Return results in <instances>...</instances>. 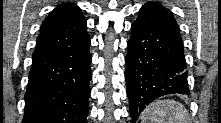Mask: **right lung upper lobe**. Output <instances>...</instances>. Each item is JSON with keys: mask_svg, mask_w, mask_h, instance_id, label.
Instances as JSON below:
<instances>
[{"mask_svg": "<svg viewBox=\"0 0 221 123\" xmlns=\"http://www.w3.org/2000/svg\"><path fill=\"white\" fill-rule=\"evenodd\" d=\"M86 31V20L80 8L73 3H65L55 8L43 21L37 46L60 44Z\"/></svg>", "mask_w": 221, "mask_h": 123, "instance_id": "1", "label": "right lung upper lobe"}]
</instances>
